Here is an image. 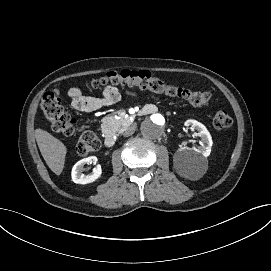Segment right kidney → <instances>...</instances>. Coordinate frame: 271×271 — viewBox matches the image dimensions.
<instances>
[{
  "label": "right kidney",
  "instance_id": "1",
  "mask_svg": "<svg viewBox=\"0 0 271 271\" xmlns=\"http://www.w3.org/2000/svg\"><path fill=\"white\" fill-rule=\"evenodd\" d=\"M95 166L90 173L83 174L86 171L84 165ZM101 174V165L98 163L96 156H89L75 163L71 170V177L73 182L77 184H86L93 182Z\"/></svg>",
  "mask_w": 271,
  "mask_h": 271
}]
</instances>
